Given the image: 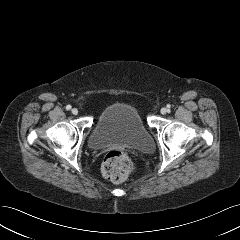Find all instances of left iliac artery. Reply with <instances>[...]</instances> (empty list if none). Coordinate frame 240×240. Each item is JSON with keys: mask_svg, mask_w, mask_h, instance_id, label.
Masks as SVG:
<instances>
[{"mask_svg": "<svg viewBox=\"0 0 240 240\" xmlns=\"http://www.w3.org/2000/svg\"><path fill=\"white\" fill-rule=\"evenodd\" d=\"M170 107H171V106L168 104V105H167V108L170 109Z\"/></svg>", "mask_w": 240, "mask_h": 240, "instance_id": "obj_1", "label": "left iliac artery"}]
</instances>
